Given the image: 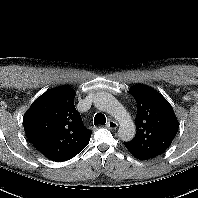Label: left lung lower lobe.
I'll use <instances>...</instances> for the list:
<instances>
[{"mask_svg": "<svg viewBox=\"0 0 198 198\" xmlns=\"http://www.w3.org/2000/svg\"><path fill=\"white\" fill-rule=\"evenodd\" d=\"M128 150L135 158H137L139 160H148V159L156 157V156L144 154V153H141V152H137V151L132 150V149H128Z\"/></svg>", "mask_w": 198, "mask_h": 198, "instance_id": "0a47b994", "label": "left lung lower lobe"}]
</instances>
